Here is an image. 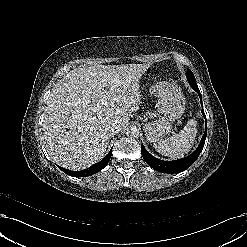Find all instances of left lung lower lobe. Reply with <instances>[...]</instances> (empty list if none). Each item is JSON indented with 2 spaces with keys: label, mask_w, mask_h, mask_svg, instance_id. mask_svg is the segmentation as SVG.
Returning <instances> with one entry per match:
<instances>
[{
  "label": "left lung lower lobe",
  "mask_w": 247,
  "mask_h": 247,
  "mask_svg": "<svg viewBox=\"0 0 247 247\" xmlns=\"http://www.w3.org/2000/svg\"><path fill=\"white\" fill-rule=\"evenodd\" d=\"M189 84L198 93L201 104H202V96H201V93L199 91L197 84L196 83H189ZM202 114L205 118V132H204V135L201 139V142L198 148L191 155H189L188 157L182 158V159L174 160V161H163L149 154L142 144L141 153H142V157L145 160V162L153 169L159 172H162V173L173 174V173H179V172H182L188 169L197 160L205 144V139L207 136V121H206V116L203 110V105H202Z\"/></svg>",
  "instance_id": "obj_1"
}]
</instances>
